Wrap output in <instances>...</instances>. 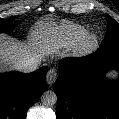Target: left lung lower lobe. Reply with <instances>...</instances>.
<instances>
[{
  "instance_id": "left-lung-lower-lobe-1",
  "label": "left lung lower lobe",
  "mask_w": 119,
  "mask_h": 119,
  "mask_svg": "<svg viewBox=\"0 0 119 119\" xmlns=\"http://www.w3.org/2000/svg\"><path fill=\"white\" fill-rule=\"evenodd\" d=\"M119 70V52L98 49L80 58H64L54 83L57 119H119V80L104 82L103 73Z\"/></svg>"
}]
</instances>
